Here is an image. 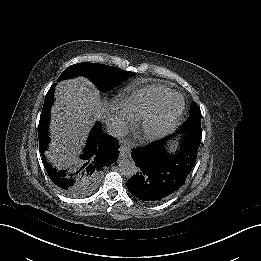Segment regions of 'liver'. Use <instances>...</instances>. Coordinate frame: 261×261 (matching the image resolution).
Segmentation results:
<instances>
[{
    "label": "liver",
    "instance_id": "1",
    "mask_svg": "<svg viewBox=\"0 0 261 261\" xmlns=\"http://www.w3.org/2000/svg\"><path fill=\"white\" fill-rule=\"evenodd\" d=\"M51 108V143L47 158L58 167L78 161L86 137L97 120L111 117L114 106L101 100L95 85L85 77L60 82Z\"/></svg>",
    "mask_w": 261,
    "mask_h": 261
}]
</instances>
